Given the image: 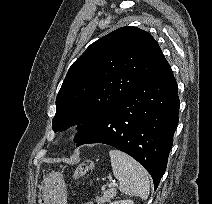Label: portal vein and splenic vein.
<instances>
[{
	"label": "portal vein and splenic vein",
	"instance_id": "18ae733b",
	"mask_svg": "<svg viewBox=\"0 0 212 204\" xmlns=\"http://www.w3.org/2000/svg\"><path fill=\"white\" fill-rule=\"evenodd\" d=\"M113 185H115V183H110V184H109L110 187L113 186Z\"/></svg>",
	"mask_w": 212,
	"mask_h": 204
}]
</instances>
